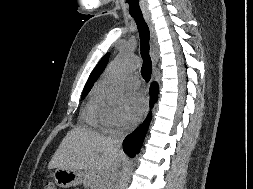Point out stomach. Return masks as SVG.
<instances>
[{
  "label": "stomach",
  "instance_id": "0dacf381",
  "mask_svg": "<svg viewBox=\"0 0 253 189\" xmlns=\"http://www.w3.org/2000/svg\"><path fill=\"white\" fill-rule=\"evenodd\" d=\"M53 177L58 186L70 188L78 185L83 180L84 174L79 170L57 168L53 173Z\"/></svg>",
  "mask_w": 253,
  "mask_h": 189
}]
</instances>
